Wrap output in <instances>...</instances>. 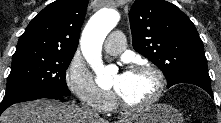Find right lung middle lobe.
Instances as JSON below:
<instances>
[{"label": "right lung middle lobe", "instance_id": "1", "mask_svg": "<svg viewBox=\"0 0 221 123\" xmlns=\"http://www.w3.org/2000/svg\"><path fill=\"white\" fill-rule=\"evenodd\" d=\"M73 55L35 49L16 51L1 106L35 100L53 91L69 96L65 76Z\"/></svg>", "mask_w": 221, "mask_h": 123}]
</instances>
